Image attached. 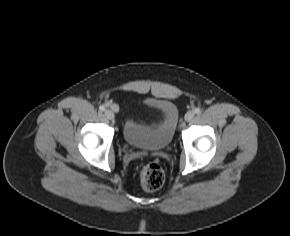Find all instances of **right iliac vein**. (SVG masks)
<instances>
[{"label":"right iliac vein","mask_w":290,"mask_h":236,"mask_svg":"<svg viewBox=\"0 0 290 236\" xmlns=\"http://www.w3.org/2000/svg\"><path fill=\"white\" fill-rule=\"evenodd\" d=\"M104 113H105V116L107 119H109V120L114 119V113L112 110L106 109Z\"/></svg>","instance_id":"63e3f726"}]
</instances>
